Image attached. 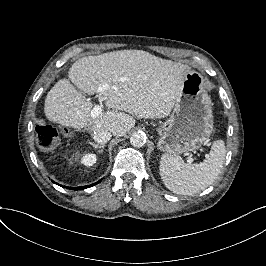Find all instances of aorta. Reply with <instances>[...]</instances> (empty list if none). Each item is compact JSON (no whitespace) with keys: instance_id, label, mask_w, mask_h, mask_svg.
Returning a JSON list of instances; mask_svg holds the SVG:
<instances>
[{"instance_id":"762f6f07","label":"aorta","mask_w":266,"mask_h":266,"mask_svg":"<svg viewBox=\"0 0 266 266\" xmlns=\"http://www.w3.org/2000/svg\"><path fill=\"white\" fill-rule=\"evenodd\" d=\"M146 139L144 132H134L130 137V143L134 147H142L146 143Z\"/></svg>"}]
</instances>
